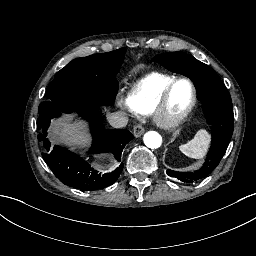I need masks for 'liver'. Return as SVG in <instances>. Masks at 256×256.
I'll use <instances>...</instances> for the list:
<instances>
[{
    "label": "liver",
    "instance_id": "1",
    "mask_svg": "<svg viewBox=\"0 0 256 256\" xmlns=\"http://www.w3.org/2000/svg\"><path fill=\"white\" fill-rule=\"evenodd\" d=\"M108 113V112H107ZM74 115H64L52 123L50 136L57 143H64L69 146L86 145L91 142L88 133V124L83 121H74Z\"/></svg>",
    "mask_w": 256,
    "mask_h": 256
}]
</instances>
